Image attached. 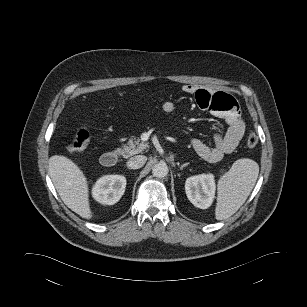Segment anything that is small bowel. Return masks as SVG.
Instances as JSON below:
<instances>
[{"mask_svg": "<svg viewBox=\"0 0 307 307\" xmlns=\"http://www.w3.org/2000/svg\"><path fill=\"white\" fill-rule=\"evenodd\" d=\"M183 92L194 95L197 104L204 109L224 120L227 130L223 134H216L212 146L199 139H193L191 145L195 152L209 162L219 161L225 154L235 150L245 132V123L239 112L236 100L225 92H210L200 89L197 85L186 84L182 87ZM176 104L173 100H165L162 110L171 114L175 111Z\"/></svg>", "mask_w": 307, "mask_h": 307, "instance_id": "small-bowel-1", "label": "small bowel"}]
</instances>
